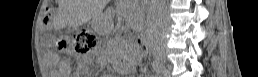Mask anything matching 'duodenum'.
<instances>
[{
  "label": "duodenum",
  "instance_id": "410a0bca",
  "mask_svg": "<svg viewBox=\"0 0 258 77\" xmlns=\"http://www.w3.org/2000/svg\"><path fill=\"white\" fill-rule=\"evenodd\" d=\"M144 40H145L146 44L148 45L147 39H144ZM148 47H149V45H148Z\"/></svg>",
  "mask_w": 258,
  "mask_h": 77
}]
</instances>
